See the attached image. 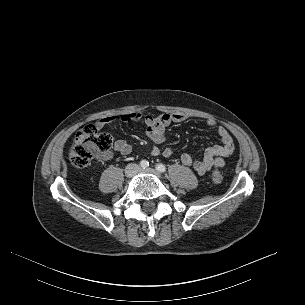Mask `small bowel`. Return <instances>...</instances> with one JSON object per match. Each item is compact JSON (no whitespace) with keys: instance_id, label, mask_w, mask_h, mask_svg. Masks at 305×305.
Returning <instances> with one entry per match:
<instances>
[{"instance_id":"obj_1","label":"small bowel","mask_w":305,"mask_h":305,"mask_svg":"<svg viewBox=\"0 0 305 305\" xmlns=\"http://www.w3.org/2000/svg\"><path fill=\"white\" fill-rule=\"evenodd\" d=\"M187 116L181 113H161L157 116L146 115L140 112H130L122 114L120 117L107 116L95 123L98 129L106 125L114 124L118 120L124 123H142L145 126L147 137L157 143H163L167 139V129L174 123H181L187 120ZM216 121L207 119L205 122L206 127H216ZM217 135L221 140V144L214 145L207 148L202 156L195 157L191 153H184L181 155V162L193 168L198 174L202 175L214 168L222 167L225 163V158L230 157L234 150V140L230 132L223 126L216 129ZM114 150L122 156H127L131 153L132 147L125 140H116L114 143ZM151 154L153 156H164L171 158L174 155V150L171 148L161 149L157 146L152 147ZM112 158V152H104L101 154L102 161H108Z\"/></svg>"}]
</instances>
